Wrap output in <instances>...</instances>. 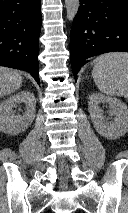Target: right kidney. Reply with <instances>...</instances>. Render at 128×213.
Masks as SVG:
<instances>
[{
    "label": "right kidney",
    "mask_w": 128,
    "mask_h": 213,
    "mask_svg": "<svg viewBox=\"0 0 128 213\" xmlns=\"http://www.w3.org/2000/svg\"><path fill=\"white\" fill-rule=\"evenodd\" d=\"M24 103L26 108L22 115H15L13 108ZM36 113V99L30 91H20L0 104V131L16 135L26 130L33 122Z\"/></svg>",
    "instance_id": "1"
}]
</instances>
